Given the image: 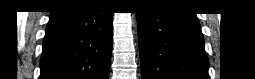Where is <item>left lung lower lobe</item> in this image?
I'll use <instances>...</instances> for the list:
<instances>
[{
  "label": "left lung lower lobe",
  "mask_w": 255,
  "mask_h": 79,
  "mask_svg": "<svg viewBox=\"0 0 255 79\" xmlns=\"http://www.w3.org/2000/svg\"><path fill=\"white\" fill-rule=\"evenodd\" d=\"M160 10L136 13L142 79H209L196 15Z\"/></svg>",
  "instance_id": "1"
}]
</instances>
